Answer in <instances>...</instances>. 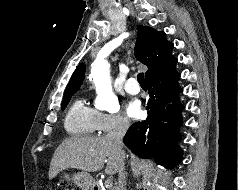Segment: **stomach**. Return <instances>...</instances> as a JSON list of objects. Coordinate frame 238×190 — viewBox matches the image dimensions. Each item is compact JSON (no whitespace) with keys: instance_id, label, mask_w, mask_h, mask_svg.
I'll list each match as a JSON object with an SVG mask.
<instances>
[{"instance_id":"1","label":"stomach","mask_w":238,"mask_h":190,"mask_svg":"<svg viewBox=\"0 0 238 190\" xmlns=\"http://www.w3.org/2000/svg\"><path fill=\"white\" fill-rule=\"evenodd\" d=\"M61 178H63V180L72 181L74 185L81 190H94L95 180L88 173L77 172L70 175L63 172Z\"/></svg>"}]
</instances>
